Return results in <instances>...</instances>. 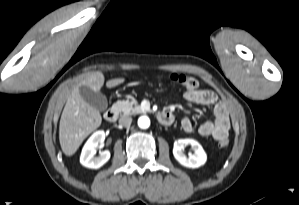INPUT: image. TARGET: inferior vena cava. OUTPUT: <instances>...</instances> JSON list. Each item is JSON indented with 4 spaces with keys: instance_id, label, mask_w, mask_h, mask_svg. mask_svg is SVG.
<instances>
[{
    "instance_id": "obj_1",
    "label": "inferior vena cava",
    "mask_w": 299,
    "mask_h": 205,
    "mask_svg": "<svg viewBox=\"0 0 299 205\" xmlns=\"http://www.w3.org/2000/svg\"><path fill=\"white\" fill-rule=\"evenodd\" d=\"M132 123V118L129 116H121L119 119V124L124 127H129Z\"/></svg>"
}]
</instances>
